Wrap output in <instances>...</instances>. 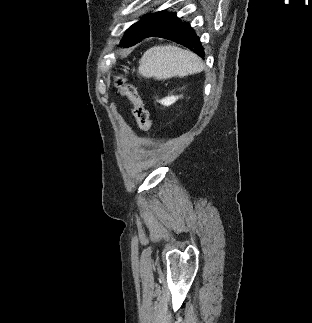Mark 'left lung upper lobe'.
<instances>
[{"label": "left lung upper lobe", "mask_w": 312, "mask_h": 323, "mask_svg": "<svg viewBox=\"0 0 312 323\" xmlns=\"http://www.w3.org/2000/svg\"><path fill=\"white\" fill-rule=\"evenodd\" d=\"M169 12L159 11L149 15H145L140 21L133 24L127 29L123 39L121 40L122 46H131L136 42L143 39L153 28V26L165 18Z\"/></svg>", "instance_id": "obj_1"}]
</instances>
